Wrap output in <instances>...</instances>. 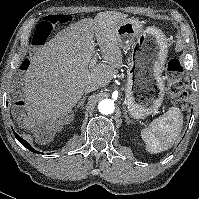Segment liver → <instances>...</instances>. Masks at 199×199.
Returning <instances> with one entry per match:
<instances>
[{
	"label": "liver",
	"instance_id": "obj_1",
	"mask_svg": "<svg viewBox=\"0 0 199 199\" xmlns=\"http://www.w3.org/2000/svg\"><path fill=\"white\" fill-rule=\"evenodd\" d=\"M126 18L120 12H100L68 26L36 50L20 82L27 115L13 111L22 128L33 129L38 138L48 133L51 141L72 120V109L89 84L110 83L123 64L116 26ZM98 51L104 62L92 65Z\"/></svg>",
	"mask_w": 199,
	"mask_h": 199
}]
</instances>
